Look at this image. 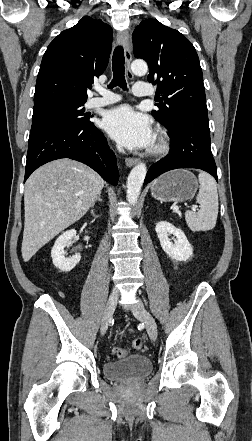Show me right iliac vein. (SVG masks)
<instances>
[{"label": "right iliac vein", "mask_w": 252, "mask_h": 441, "mask_svg": "<svg viewBox=\"0 0 252 441\" xmlns=\"http://www.w3.org/2000/svg\"><path fill=\"white\" fill-rule=\"evenodd\" d=\"M118 299H119V293L117 291H112L110 293L109 298H108V301H107V304H106V307L104 310L103 318L101 321V333L102 334H105V332L108 328L110 318L115 311Z\"/></svg>", "instance_id": "1"}]
</instances>
